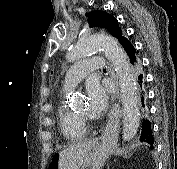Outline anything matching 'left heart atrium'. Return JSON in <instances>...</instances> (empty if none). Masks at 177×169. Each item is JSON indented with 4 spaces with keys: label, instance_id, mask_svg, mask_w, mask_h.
<instances>
[{
    "label": "left heart atrium",
    "instance_id": "1",
    "mask_svg": "<svg viewBox=\"0 0 177 169\" xmlns=\"http://www.w3.org/2000/svg\"><path fill=\"white\" fill-rule=\"evenodd\" d=\"M87 105L91 116L99 117L108 106V94L104 86L94 80L86 85Z\"/></svg>",
    "mask_w": 177,
    "mask_h": 169
}]
</instances>
